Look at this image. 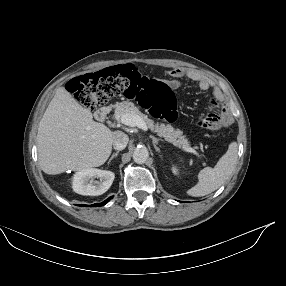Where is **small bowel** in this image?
Segmentation results:
<instances>
[{
  "label": "small bowel",
  "instance_id": "1",
  "mask_svg": "<svg viewBox=\"0 0 286 286\" xmlns=\"http://www.w3.org/2000/svg\"><path fill=\"white\" fill-rule=\"evenodd\" d=\"M170 80L168 81L169 85L172 88H178L180 86V81L183 78H186L192 82H195L200 89L208 90L213 89V97L211 105L208 110L216 111L218 114H222L226 118V123L230 120V112L227 105V102L223 94L214 87L213 83L203 74H200L194 70H187L184 68H173L169 71ZM209 111H206L203 115L208 114Z\"/></svg>",
  "mask_w": 286,
  "mask_h": 286
}]
</instances>
